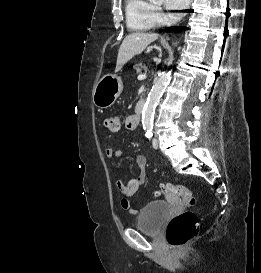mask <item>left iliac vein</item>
I'll use <instances>...</instances> for the list:
<instances>
[{"mask_svg": "<svg viewBox=\"0 0 261 273\" xmlns=\"http://www.w3.org/2000/svg\"><path fill=\"white\" fill-rule=\"evenodd\" d=\"M152 145H153V148H154V149H157V148H158V140H157L156 138H154V139L152 140Z\"/></svg>", "mask_w": 261, "mask_h": 273, "instance_id": "4c4485c4", "label": "left iliac vein"}]
</instances>
